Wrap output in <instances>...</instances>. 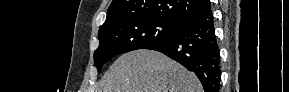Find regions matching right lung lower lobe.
<instances>
[{"label": "right lung lower lobe", "mask_w": 289, "mask_h": 92, "mask_svg": "<svg viewBox=\"0 0 289 92\" xmlns=\"http://www.w3.org/2000/svg\"><path fill=\"white\" fill-rule=\"evenodd\" d=\"M145 49L159 51L193 71L205 92H218L220 53L211 9L183 21L175 35Z\"/></svg>", "instance_id": "1"}]
</instances>
